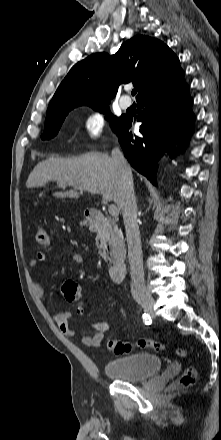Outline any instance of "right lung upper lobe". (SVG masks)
I'll return each instance as SVG.
<instances>
[{"instance_id":"obj_1","label":"right lung upper lobe","mask_w":221,"mask_h":440,"mask_svg":"<svg viewBox=\"0 0 221 440\" xmlns=\"http://www.w3.org/2000/svg\"><path fill=\"white\" fill-rule=\"evenodd\" d=\"M183 77L179 59L167 45L136 35L112 56L95 53L75 64L59 85L48 110L106 105L119 85L129 82L138 88V101L175 85Z\"/></svg>"}]
</instances>
